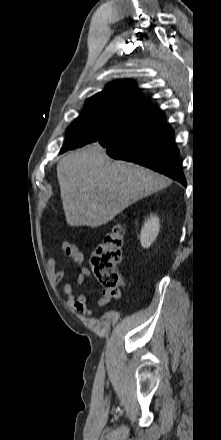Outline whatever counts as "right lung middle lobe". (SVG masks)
<instances>
[{"mask_svg": "<svg viewBox=\"0 0 221 440\" xmlns=\"http://www.w3.org/2000/svg\"><path fill=\"white\" fill-rule=\"evenodd\" d=\"M133 114V110L119 109L111 103H87L85 110L68 127L66 143L60 153L99 140Z\"/></svg>", "mask_w": 221, "mask_h": 440, "instance_id": "dd1d6c3e", "label": "right lung middle lobe"}]
</instances>
